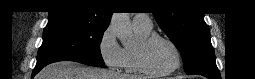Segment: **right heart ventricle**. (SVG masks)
Masks as SVG:
<instances>
[{
    "label": "right heart ventricle",
    "mask_w": 255,
    "mask_h": 79,
    "mask_svg": "<svg viewBox=\"0 0 255 79\" xmlns=\"http://www.w3.org/2000/svg\"><path fill=\"white\" fill-rule=\"evenodd\" d=\"M151 29H144L140 27H134V31L136 37L138 39V43L132 47H125L123 48L124 52V63L123 68L126 73L128 74H138L141 71L138 68L137 61H136V48L138 44L145 38H147L151 34Z\"/></svg>",
    "instance_id": "e07e8e85"
}]
</instances>
